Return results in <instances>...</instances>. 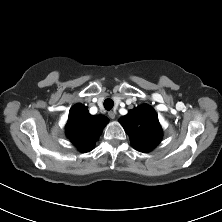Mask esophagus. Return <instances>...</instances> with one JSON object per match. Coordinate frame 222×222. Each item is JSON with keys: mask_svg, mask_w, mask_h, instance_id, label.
I'll return each mask as SVG.
<instances>
[{"mask_svg": "<svg viewBox=\"0 0 222 222\" xmlns=\"http://www.w3.org/2000/svg\"><path fill=\"white\" fill-rule=\"evenodd\" d=\"M108 116L111 118V119H114L115 118V113L113 111H109L108 112Z\"/></svg>", "mask_w": 222, "mask_h": 222, "instance_id": "obj_1", "label": "esophagus"}]
</instances>
